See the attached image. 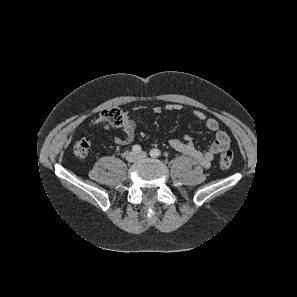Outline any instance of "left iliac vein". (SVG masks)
<instances>
[{"label":"left iliac vein","instance_id":"4c4485c4","mask_svg":"<svg viewBox=\"0 0 297 297\" xmlns=\"http://www.w3.org/2000/svg\"><path fill=\"white\" fill-rule=\"evenodd\" d=\"M138 159H143V158H146L147 157V153L146 152H140L138 155H137Z\"/></svg>","mask_w":297,"mask_h":297}]
</instances>
